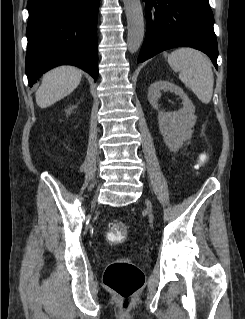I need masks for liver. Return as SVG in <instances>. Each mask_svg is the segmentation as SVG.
<instances>
[{
	"instance_id": "1",
	"label": "liver",
	"mask_w": 245,
	"mask_h": 319,
	"mask_svg": "<svg viewBox=\"0 0 245 319\" xmlns=\"http://www.w3.org/2000/svg\"><path fill=\"white\" fill-rule=\"evenodd\" d=\"M81 77L82 71L73 66H62L47 72L35 94L37 105L46 108L63 99L77 88Z\"/></svg>"
}]
</instances>
